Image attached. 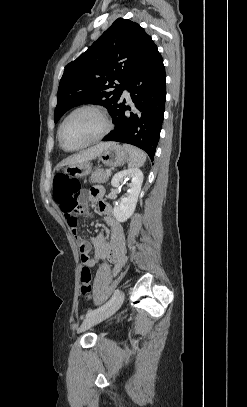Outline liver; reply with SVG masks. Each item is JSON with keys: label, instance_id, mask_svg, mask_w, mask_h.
I'll list each match as a JSON object with an SVG mask.
<instances>
[{"label": "liver", "instance_id": "6515ba94", "mask_svg": "<svg viewBox=\"0 0 247 407\" xmlns=\"http://www.w3.org/2000/svg\"><path fill=\"white\" fill-rule=\"evenodd\" d=\"M111 143H99L93 147H90L86 150H83L68 159L64 160L61 165H72V164H78L86 161H90L97 156H99L103 150L108 147Z\"/></svg>", "mask_w": 247, "mask_h": 407}]
</instances>
